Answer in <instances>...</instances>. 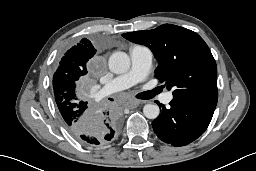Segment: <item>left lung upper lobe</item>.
I'll list each match as a JSON object with an SVG mask.
<instances>
[{
    "label": "left lung upper lobe",
    "instance_id": "obj_1",
    "mask_svg": "<svg viewBox=\"0 0 256 171\" xmlns=\"http://www.w3.org/2000/svg\"><path fill=\"white\" fill-rule=\"evenodd\" d=\"M122 36L151 49L159 65L156 78L173 89V98L215 110L217 67L204 40L195 32L172 24Z\"/></svg>",
    "mask_w": 256,
    "mask_h": 171
}]
</instances>
